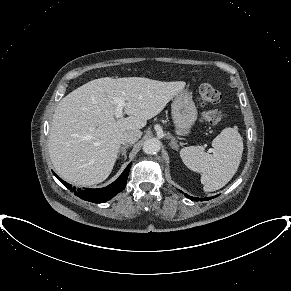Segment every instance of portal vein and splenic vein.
Instances as JSON below:
<instances>
[{"instance_id": "18ae733b", "label": "portal vein and splenic vein", "mask_w": 291, "mask_h": 291, "mask_svg": "<svg viewBox=\"0 0 291 291\" xmlns=\"http://www.w3.org/2000/svg\"><path fill=\"white\" fill-rule=\"evenodd\" d=\"M113 103L116 105L115 117L121 118L123 115V109L127 106V103L123 97H113Z\"/></svg>"}]
</instances>
